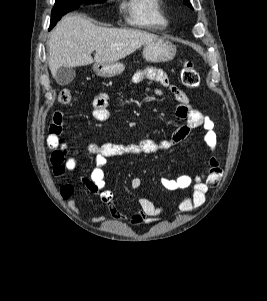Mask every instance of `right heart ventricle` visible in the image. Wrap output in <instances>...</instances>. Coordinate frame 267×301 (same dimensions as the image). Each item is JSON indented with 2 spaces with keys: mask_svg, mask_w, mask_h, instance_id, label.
Segmentation results:
<instances>
[{
  "mask_svg": "<svg viewBox=\"0 0 267 301\" xmlns=\"http://www.w3.org/2000/svg\"><path fill=\"white\" fill-rule=\"evenodd\" d=\"M128 21L145 28H163L168 24L162 0H129L122 5Z\"/></svg>",
  "mask_w": 267,
  "mask_h": 301,
  "instance_id": "obj_1",
  "label": "right heart ventricle"
}]
</instances>
